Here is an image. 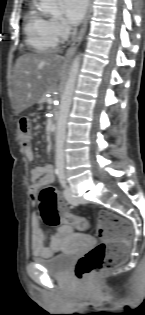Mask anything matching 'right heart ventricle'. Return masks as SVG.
<instances>
[{"label":"right heart ventricle","mask_w":145,"mask_h":315,"mask_svg":"<svg viewBox=\"0 0 145 315\" xmlns=\"http://www.w3.org/2000/svg\"><path fill=\"white\" fill-rule=\"evenodd\" d=\"M24 33L28 47L36 53H47L58 44V38L50 26V19L35 5L25 17Z\"/></svg>","instance_id":"obj_1"}]
</instances>
